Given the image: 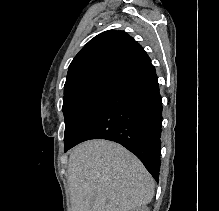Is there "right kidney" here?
Segmentation results:
<instances>
[{
    "label": "right kidney",
    "instance_id": "obj_1",
    "mask_svg": "<svg viewBox=\"0 0 219 211\" xmlns=\"http://www.w3.org/2000/svg\"><path fill=\"white\" fill-rule=\"evenodd\" d=\"M136 211H149V207H145V205H143V207H138Z\"/></svg>",
    "mask_w": 219,
    "mask_h": 211
}]
</instances>
